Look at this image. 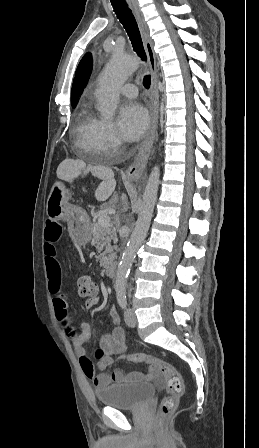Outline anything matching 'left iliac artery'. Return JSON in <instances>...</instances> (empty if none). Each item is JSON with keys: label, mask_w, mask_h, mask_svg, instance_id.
Instances as JSON below:
<instances>
[{"label": "left iliac artery", "mask_w": 259, "mask_h": 448, "mask_svg": "<svg viewBox=\"0 0 259 448\" xmlns=\"http://www.w3.org/2000/svg\"><path fill=\"white\" fill-rule=\"evenodd\" d=\"M117 301L121 308H126L127 300H126V287L124 283H117L115 286Z\"/></svg>", "instance_id": "1"}]
</instances>
